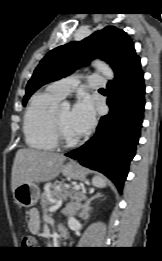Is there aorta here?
Listing matches in <instances>:
<instances>
[{"label":"aorta","instance_id":"aorta-1","mask_svg":"<svg viewBox=\"0 0 162 261\" xmlns=\"http://www.w3.org/2000/svg\"><path fill=\"white\" fill-rule=\"evenodd\" d=\"M92 66L97 70H99L107 79L113 80L114 73L108 64L100 60H94L92 62ZM64 105H68V104L64 103Z\"/></svg>","mask_w":162,"mask_h":261}]
</instances>
